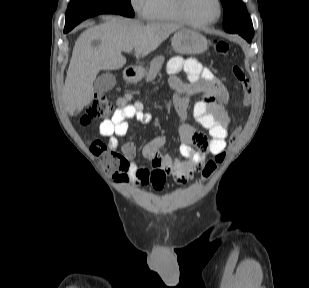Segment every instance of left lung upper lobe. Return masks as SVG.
<instances>
[{
	"label": "left lung upper lobe",
	"mask_w": 309,
	"mask_h": 288,
	"mask_svg": "<svg viewBox=\"0 0 309 288\" xmlns=\"http://www.w3.org/2000/svg\"><path fill=\"white\" fill-rule=\"evenodd\" d=\"M224 9L225 31L230 32L233 29H242L252 26L245 5L242 0H221Z\"/></svg>",
	"instance_id": "5c2ea615"
}]
</instances>
